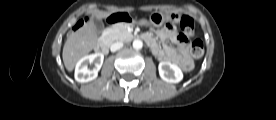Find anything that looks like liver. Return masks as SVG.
Wrapping results in <instances>:
<instances>
[{
	"label": "liver",
	"mask_w": 276,
	"mask_h": 120,
	"mask_svg": "<svg viewBox=\"0 0 276 120\" xmlns=\"http://www.w3.org/2000/svg\"><path fill=\"white\" fill-rule=\"evenodd\" d=\"M109 15L110 13L99 11L95 17L101 20ZM96 41L97 33L92 21H88L77 31L69 34L62 54L66 69L72 71L76 63L94 48Z\"/></svg>",
	"instance_id": "obj_1"
}]
</instances>
